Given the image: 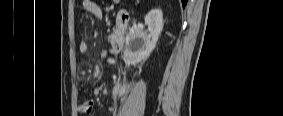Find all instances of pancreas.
<instances>
[{"label":"pancreas","instance_id":"obj_1","mask_svg":"<svg viewBox=\"0 0 283 116\" xmlns=\"http://www.w3.org/2000/svg\"><path fill=\"white\" fill-rule=\"evenodd\" d=\"M116 35H117V30H114V32L109 36V41L112 42L116 37Z\"/></svg>","mask_w":283,"mask_h":116}]
</instances>
